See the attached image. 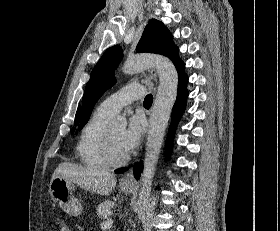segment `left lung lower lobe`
<instances>
[{
  "instance_id": "1",
  "label": "left lung lower lobe",
  "mask_w": 280,
  "mask_h": 231,
  "mask_svg": "<svg viewBox=\"0 0 280 231\" xmlns=\"http://www.w3.org/2000/svg\"><path fill=\"white\" fill-rule=\"evenodd\" d=\"M178 78H179L178 95H177V99H176V102L174 104L173 111H172V121H171L170 130H169V137H168L169 143L171 142V140L173 138V134H174L176 125L181 117V114L185 110V101H186V98L188 95V91L186 88L187 75L185 74L184 71H182L181 73L178 74ZM125 170H126V168L124 167V168L117 169L115 172L121 173V172H124ZM133 170H134L135 178L139 179L141 170H142V162L136 163Z\"/></svg>"
}]
</instances>
